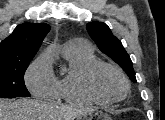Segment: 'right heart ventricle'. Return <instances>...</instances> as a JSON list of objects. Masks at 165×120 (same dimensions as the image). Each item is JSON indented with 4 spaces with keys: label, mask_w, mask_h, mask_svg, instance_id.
Instances as JSON below:
<instances>
[{
    "label": "right heart ventricle",
    "mask_w": 165,
    "mask_h": 120,
    "mask_svg": "<svg viewBox=\"0 0 165 120\" xmlns=\"http://www.w3.org/2000/svg\"><path fill=\"white\" fill-rule=\"evenodd\" d=\"M63 57L67 63V71L57 79L54 99L77 105L98 103L90 98L83 89V78L87 69L98 61L91 49H64Z\"/></svg>",
    "instance_id": "obj_1"
}]
</instances>
